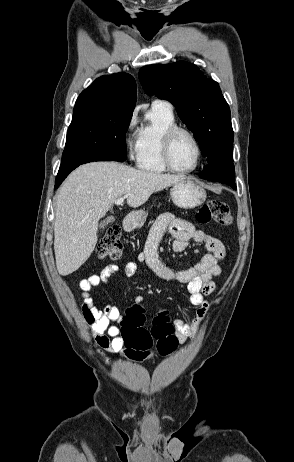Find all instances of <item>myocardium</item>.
Here are the masks:
<instances>
[{"label":"myocardium","mask_w":294,"mask_h":462,"mask_svg":"<svg viewBox=\"0 0 294 462\" xmlns=\"http://www.w3.org/2000/svg\"><path fill=\"white\" fill-rule=\"evenodd\" d=\"M179 134L187 135L193 141L196 147V151H197L196 160H195L194 165L187 169L177 168L173 164L172 158H171L172 144L175 138L177 137V135ZM202 154H203V150H202V146L198 138L189 129L181 127V126H173L165 131L163 138H162L161 156H162L163 164L169 171L174 172V173H180V174H186V173H191L195 171L200 165Z\"/></svg>","instance_id":"myocardium-1"}]
</instances>
